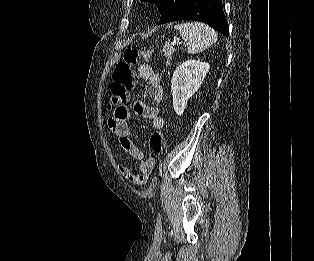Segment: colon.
Listing matches in <instances>:
<instances>
[{
    "instance_id": "colon-1",
    "label": "colon",
    "mask_w": 314,
    "mask_h": 261,
    "mask_svg": "<svg viewBox=\"0 0 314 261\" xmlns=\"http://www.w3.org/2000/svg\"><path fill=\"white\" fill-rule=\"evenodd\" d=\"M151 49H138L129 47L124 51L123 61L119 62L112 74V82L109 87L111 97L110 105H123L128 100V93L135 84L133 66L140 60H148L152 56ZM150 149L155 153H161L165 148V139L161 130H155L149 140Z\"/></svg>"
}]
</instances>
